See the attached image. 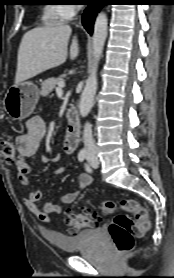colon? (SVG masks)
I'll return each mask as SVG.
<instances>
[{
  "mask_svg": "<svg viewBox=\"0 0 174 278\" xmlns=\"http://www.w3.org/2000/svg\"><path fill=\"white\" fill-rule=\"evenodd\" d=\"M0 153L7 162H14L17 150L15 145L8 140L0 141ZM120 207L131 216L119 214L115 216L109 225V234L114 243L117 253L123 254L134 247L135 238L143 235L150 227V220L147 210L134 199H123ZM115 209V203L104 201L101 204V212L110 214ZM67 228L77 231L85 227L93 226L98 220L99 215L92 210H84L79 213L67 214Z\"/></svg>",
  "mask_w": 174,
  "mask_h": 278,
  "instance_id": "1",
  "label": "colon"
}]
</instances>
